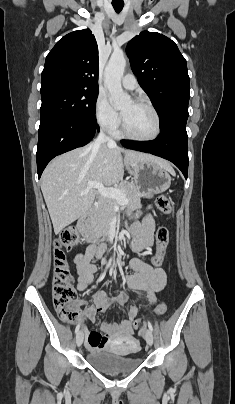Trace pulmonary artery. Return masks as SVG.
Instances as JSON below:
<instances>
[{
    "label": "pulmonary artery",
    "instance_id": "pulmonary-artery-1",
    "mask_svg": "<svg viewBox=\"0 0 235 404\" xmlns=\"http://www.w3.org/2000/svg\"><path fill=\"white\" fill-rule=\"evenodd\" d=\"M122 86L127 90H134L137 87V79L133 74H126L121 80Z\"/></svg>",
    "mask_w": 235,
    "mask_h": 404
}]
</instances>
